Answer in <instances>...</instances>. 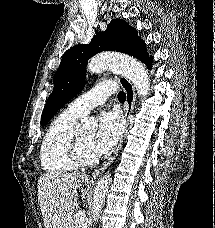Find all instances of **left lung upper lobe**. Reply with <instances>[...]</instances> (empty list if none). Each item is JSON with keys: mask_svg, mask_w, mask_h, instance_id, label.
<instances>
[{"mask_svg": "<svg viewBox=\"0 0 215 228\" xmlns=\"http://www.w3.org/2000/svg\"><path fill=\"white\" fill-rule=\"evenodd\" d=\"M102 51H118L136 57L145 63L149 56L145 43L137 35L136 29L122 19L112 20L104 32H98L87 45H75L68 49L54 76V89L43 109L41 125L85 86L88 59Z\"/></svg>", "mask_w": 215, "mask_h": 228, "instance_id": "1", "label": "left lung upper lobe"}]
</instances>
